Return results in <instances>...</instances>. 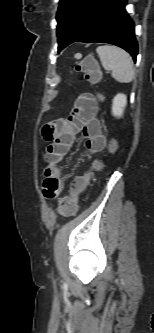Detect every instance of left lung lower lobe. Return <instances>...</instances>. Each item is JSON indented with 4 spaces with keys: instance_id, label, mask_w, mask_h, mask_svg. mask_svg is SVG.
I'll use <instances>...</instances> for the list:
<instances>
[{
    "instance_id": "1",
    "label": "left lung lower lobe",
    "mask_w": 154,
    "mask_h": 333,
    "mask_svg": "<svg viewBox=\"0 0 154 333\" xmlns=\"http://www.w3.org/2000/svg\"><path fill=\"white\" fill-rule=\"evenodd\" d=\"M127 0H97L64 48L73 42H103L119 46L134 61L138 52L134 22L125 11Z\"/></svg>"
}]
</instances>
